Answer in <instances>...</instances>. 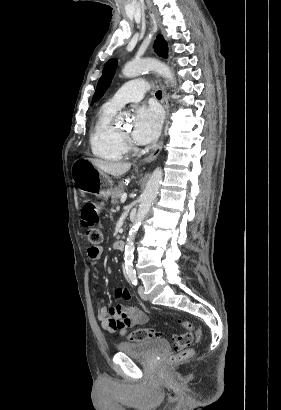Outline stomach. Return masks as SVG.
I'll return each mask as SVG.
<instances>
[{
	"mask_svg": "<svg viewBox=\"0 0 281 410\" xmlns=\"http://www.w3.org/2000/svg\"><path fill=\"white\" fill-rule=\"evenodd\" d=\"M73 182L82 191L93 192L100 198L107 200L112 190V181L88 158L74 161L71 168Z\"/></svg>",
	"mask_w": 281,
	"mask_h": 410,
	"instance_id": "1",
	"label": "stomach"
}]
</instances>
